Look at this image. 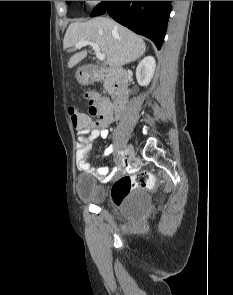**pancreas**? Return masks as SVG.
Segmentation results:
<instances>
[{"label":"pancreas","instance_id":"cf45deb5","mask_svg":"<svg viewBox=\"0 0 233 295\" xmlns=\"http://www.w3.org/2000/svg\"><path fill=\"white\" fill-rule=\"evenodd\" d=\"M104 88L110 95H113L115 92L114 80L112 78H106L104 80Z\"/></svg>","mask_w":233,"mask_h":295}]
</instances>
